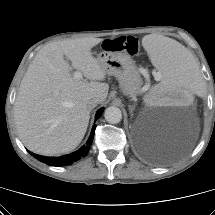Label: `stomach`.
<instances>
[{
    "instance_id": "1",
    "label": "stomach",
    "mask_w": 215,
    "mask_h": 215,
    "mask_svg": "<svg viewBox=\"0 0 215 215\" xmlns=\"http://www.w3.org/2000/svg\"><path fill=\"white\" fill-rule=\"evenodd\" d=\"M97 60L106 74L117 78L125 95L139 93L143 80L134 60L126 52L103 50L97 55Z\"/></svg>"
}]
</instances>
